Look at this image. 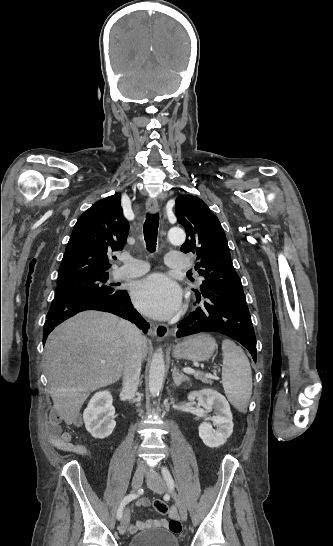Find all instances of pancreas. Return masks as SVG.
<instances>
[{
    "instance_id": "1",
    "label": "pancreas",
    "mask_w": 333,
    "mask_h": 546,
    "mask_svg": "<svg viewBox=\"0 0 333 546\" xmlns=\"http://www.w3.org/2000/svg\"><path fill=\"white\" fill-rule=\"evenodd\" d=\"M194 377H195L196 379H198V380H201V381L204 382V383H209V384L212 383V381H211L210 379H208L207 377H205V376L194 375Z\"/></svg>"
}]
</instances>
